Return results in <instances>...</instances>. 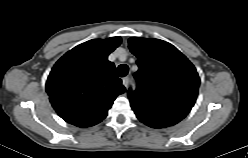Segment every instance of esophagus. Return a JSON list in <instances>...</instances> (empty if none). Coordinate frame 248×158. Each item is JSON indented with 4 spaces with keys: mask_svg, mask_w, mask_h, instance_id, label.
Listing matches in <instances>:
<instances>
[{
    "mask_svg": "<svg viewBox=\"0 0 248 158\" xmlns=\"http://www.w3.org/2000/svg\"><path fill=\"white\" fill-rule=\"evenodd\" d=\"M122 83H123V85H124L125 87H128L129 78H128V77H124V78L122 79Z\"/></svg>",
    "mask_w": 248,
    "mask_h": 158,
    "instance_id": "34e87169",
    "label": "esophagus"
}]
</instances>
